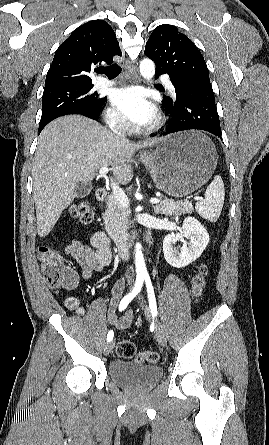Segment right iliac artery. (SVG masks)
I'll return each instance as SVG.
<instances>
[{
  "instance_id": "1",
  "label": "right iliac artery",
  "mask_w": 269,
  "mask_h": 445,
  "mask_svg": "<svg viewBox=\"0 0 269 445\" xmlns=\"http://www.w3.org/2000/svg\"><path fill=\"white\" fill-rule=\"evenodd\" d=\"M143 281H144L143 277H137L135 286H134L132 292H130L128 295L124 296L123 299L121 300V302L119 304V311L124 310L128 306V304L133 300V298L141 291L142 286H143ZM113 336H114V332L112 330H110L107 335V341L108 342L111 341L113 339Z\"/></svg>"
}]
</instances>
